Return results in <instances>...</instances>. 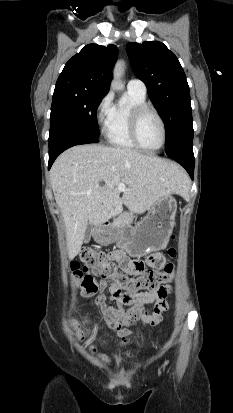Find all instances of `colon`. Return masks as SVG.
<instances>
[{"mask_svg": "<svg viewBox=\"0 0 233 413\" xmlns=\"http://www.w3.org/2000/svg\"><path fill=\"white\" fill-rule=\"evenodd\" d=\"M168 254L175 257L176 249L170 247ZM71 269L73 277L86 295L97 292V279L110 281L121 291L137 293L141 290L148 292L158 290L171 281L174 275L173 264L164 261L156 268H144L136 277L126 276L119 271L111 254L92 248L83 249L80 253V260L73 262ZM85 335L83 330L79 328L76 330V337L79 340H83Z\"/></svg>", "mask_w": 233, "mask_h": 413, "instance_id": "5ec220e1", "label": "colon"}]
</instances>
